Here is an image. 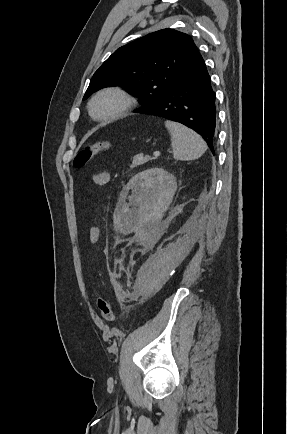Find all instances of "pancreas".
<instances>
[{"instance_id":"pancreas-1","label":"pancreas","mask_w":287,"mask_h":434,"mask_svg":"<svg viewBox=\"0 0 287 434\" xmlns=\"http://www.w3.org/2000/svg\"><path fill=\"white\" fill-rule=\"evenodd\" d=\"M152 160L150 156H143V155H135L133 157L131 168H135L137 166L143 165L144 163Z\"/></svg>"}]
</instances>
